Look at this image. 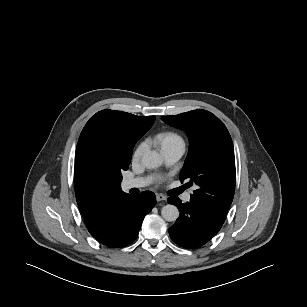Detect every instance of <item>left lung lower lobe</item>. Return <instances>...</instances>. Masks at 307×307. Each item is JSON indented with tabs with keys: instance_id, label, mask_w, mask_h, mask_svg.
Here are the masks:
<instances>
[{
	"instance_id": "left-lung-lower-lobe-1",
	"label": "left lung lower lobe",
	"mask_w": 307,
	"mask_h": 307,
	"mask_svg": "<svg viewBox=\"0 0 307 307\" xmlns=\"http://www.w3.org/2000/svg\"><path fill=\"white\" fill-rule=\"evenodd\" d=\"M170 204L178 207L179 218L169 228L171 239L179 246L197 248L215 236L223 222L213 218L191 202L182 203L178 197H169Z\"/></svg>"
}]
</instances>
